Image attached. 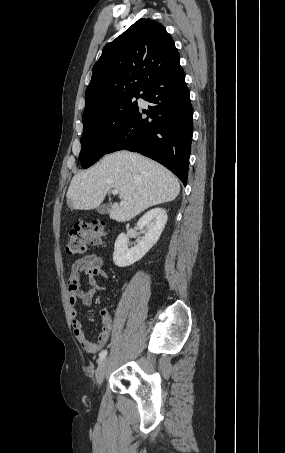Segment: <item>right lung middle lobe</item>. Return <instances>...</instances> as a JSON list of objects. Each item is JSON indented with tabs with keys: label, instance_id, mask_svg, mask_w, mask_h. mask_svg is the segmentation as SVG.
<instances>
[{
	"label": "right lung middle lobe",
	"instance_id": "1",
	"mask_svg": "<svg viewBox=\"0 0 285 453\" xmlns=\"http://www.w3.org/2000/svg\"><path fill=\"white\" fill-rule=\"evenodd\" d=\"M131 93L114 97L83 113V136L81 138L80 162L88 168L108 153L111 146L127 128L132 116L139 109Z\"/></svg>",
	"mask_w": 285,
	"mask_h": 453
}]
</instances>
